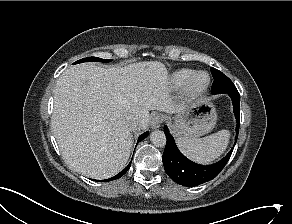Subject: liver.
Masks as SVG:
<instances>
[{
  "instance_id": "liver-1",
  "label": "liver",
  "mask_w": 292,
  "mask_h": 224,
  "mask_svg": "<svg viewBox=\"0 0 292 224\" xmlns=\"http://www.w3.org/2000/svg\"><path fill=\"white\" fill-rule=\"evenodd\" d=\"M165 65L144 61L107 68L83 63L66 69L54 89L52 129L65 161L94 179L116 175L133 144L129 119L145 130L149 111L180 112L170 98Z\"/></svg>"
}]
</instances>
